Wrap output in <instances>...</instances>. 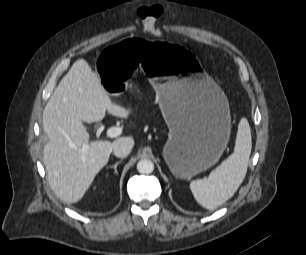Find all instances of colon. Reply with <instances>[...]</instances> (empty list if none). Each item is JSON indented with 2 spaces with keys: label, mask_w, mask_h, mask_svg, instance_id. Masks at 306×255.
I'll list each match as a JSON object with an SVG mask.
<instances>
[{
  "label": "colon",
  "mask_w": 306,
  "mask_h": 255,
  "mask_svg": "<svg viewBox=\"0 0 306 255\" xmlns=\"http://www.w3.org/2000/svg\"><path fill=\"white\" fill-rule=\"evenodd\" d=\"M163 14V7L155 4L146 6L140 9V17L145 23L147 29L153 34L158 36L160 34L157 22Z\"/></svg>",
  "instance_id": "colon-1"
}]
</instances>
